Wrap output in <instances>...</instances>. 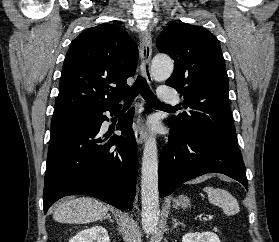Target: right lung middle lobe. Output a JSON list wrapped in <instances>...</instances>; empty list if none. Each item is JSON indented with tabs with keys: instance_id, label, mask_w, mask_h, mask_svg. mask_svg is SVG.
I'll return each mask as SVG.
<instances>
[{
	"instance_id": "right-lung-middle-lobe-1",
	"label": "right lung middle lobe",
	"mask_w": 279,
	"mask_h": 242,
	"mask_svg": "<svg viewBox=\"0 0 279 242\" xmlns=\"http://www.w3.org/2000/svg\"><path fill=\"white\" fill-rule=\"evenodd\" d=\"M84 115L85 113H73L53 117L51 121V135L58 133L64 128L79 124Z\"/></svg>"
}]
</instances>
